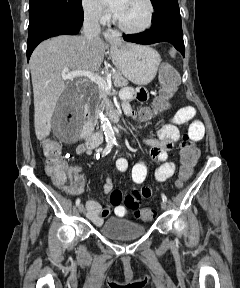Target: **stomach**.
I'll use <instances>...</instances> for the list:
<instances>
[{"mask_svg": "<svg viewBox=\"0 0 240 288\" xmlns=\"http://www.w3.org/2000/svg\"><path fill=\"white\" fill-rule=\"evenodd\" d=\"M110 56L119 72L136 85L150 83L161 62L159 53L150 46L121 40L111 44Z\"/></svg>", "mask_w": 240, "mask_h": 288, "instance_id": "1", "label": "stomach"}]
</instances>
